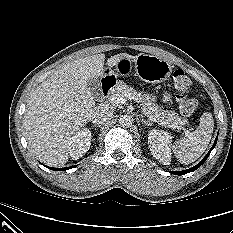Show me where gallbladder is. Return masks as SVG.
Wrapping results in <instances>:
<instances>
[{
	"mask_svg": "<svg viewBox=\"0 0 233 233\" xmlns=\"http://www.w3.org/2000/svg\"><path fill=\"white\" fill-rule=\"evenodd\" d=\"M86 83L93 96L97 97L101 94L100 82L98 79L89 78Z\"/></svg>",
	"mask_w": 233,
	"mask_h": 233,
	"instance_id": "gallbladder-1",
	"label": "gallbladder"
}]
</instances>
